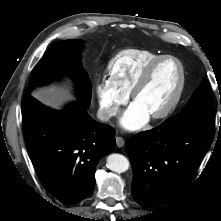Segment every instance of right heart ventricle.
I'll use <instances>...</instances> for the list:
<instances>
[{
  "label": "right heart ventricle",
  "mask_w": 221,
  "mask_h": 221,
  "mask_svg": "<svg viewBox=\"0 0 221 221\" xmlns=\"http://www.w3.org/2000/svg\"><path fill=\"white\" fill-rule=\"evenodd\" d=\"M161 54L146 49H126L115 55L107 65L110 81L130 94L147 65Z\"/></svg>",
  "instance_id": "e07e8e85"
}]
</instances>
